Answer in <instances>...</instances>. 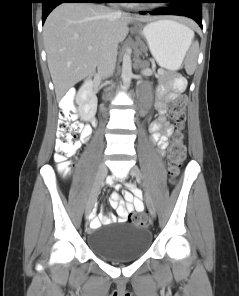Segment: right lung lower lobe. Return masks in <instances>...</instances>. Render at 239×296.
<instances>
[{"instance_id":"obj_1","label":"right lung lower lobe","mask_w":239,"mask_h":296,"mask_svg":"<svg viewBox=\"0 0 239 296\" xmlns=\"http://www.w3.org/2000/svg\"><path fill=\"white\" fill-rule=\"evenodd\" d=\"M110 0H42V23L48 14L61 3H108Z\"/></svg>"}]
</instances>
